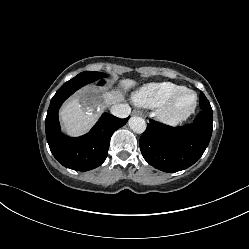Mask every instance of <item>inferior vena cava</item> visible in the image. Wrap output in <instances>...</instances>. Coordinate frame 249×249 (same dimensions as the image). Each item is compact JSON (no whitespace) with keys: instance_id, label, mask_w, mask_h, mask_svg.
Wrapping results in <instances>:
<instances>
[{"instance_id":"1","label":"inferior vena cava","mask_w":249,"mask_h":249,"mask_svg":"<svg viewBox=\"0 0 249 249\" xmlns=\"http://www.w3.org/2000/svg\"><path fill=\"white\" fill-rule=\"evenodd\" d=\"M111 114L119 118H126L130 115L131 108L128 104H116L110 108Z\"/></svg>"}]
</instances>
